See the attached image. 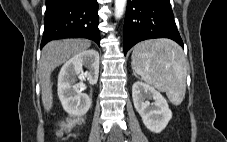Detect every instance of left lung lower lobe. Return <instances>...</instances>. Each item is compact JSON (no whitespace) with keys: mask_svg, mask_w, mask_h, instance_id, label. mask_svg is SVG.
Listing matches in <instances>:
<instances>
[{"mask_svg":"<svg viewBox=\"0 0 227 142\" xmlns=\"http://www.w3.org/2000/svg\"><path fill=\"white\" fill-rule=\"evenodd\" d=\"M169 38L183 47L170 0H128L123 28L124 54L136 43Z\"/></svg>","mask_w":227,"mask_h":142,"instance_id":"1","label":"left lung lower lobe"}]
</instances>
